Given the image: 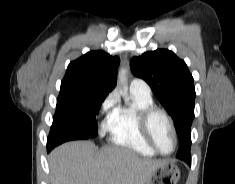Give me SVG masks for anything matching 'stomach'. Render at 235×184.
Wrapping results in <instances>:
<instances>
[{
	"mask_svg": "<svg viewBox=\"0 0 235 184\" xmlns=\"http://www.w3.org/2000/svg\"><path fill=\"white\" fill-rule=\"evenodd\" d=\"M180 180V170L172 162H164L154 170L151 178L145 184H177Z\"/></svg>",
	"mask_w": 235,
	"mask_h": 184,
	"instance_id": "stomach-1",
	"label": "stomach"
}]
</instances>
